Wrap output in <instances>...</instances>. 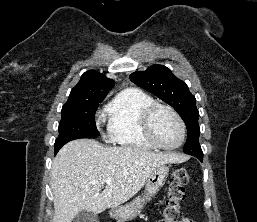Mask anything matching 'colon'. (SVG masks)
<instances>
[{"label":"colon","mask_w":257,"mask_h":222,"mask_svg":"<svg viewBox=\"0 0 257 222\" xmlns=\"http://www.w3.org/2000/svg\"><path fill=\"white\" fill-rule=\"evenodd\" d=\"M188 180L189 175L186 169L177 168L173 171L159 222H182L181 203L186 196L185 186Z\"/></svg>","instance_id":"colon-1"}]
</instances>
